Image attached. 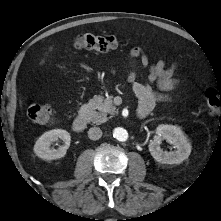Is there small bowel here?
<instances>
[{"instance_id":"1","label":"small bowel","mask_w":221,"mask_h":221,"mask_svg":"<svg viewBox=\"0 0 221 221\" xmlns=\"http://www.w3.org/2000/svg\"><path fill=\"white\" fill-rule=\"evenodd\" d=\"M129 56L133 67L137 60L140 61L143 67L148 65V58L139 47L132 48L129 52ZM177 67V64L166 67L165 62L162 60L151 65L149 80L157 86L158 91L153 90L149 84L138 82L137 74L134 69L129 71L127 81L132 85V89L139 99V113L147 115L152 111L156 102L168 100L166 93L179 85V81L175 77Z\"/></svg>"}]
</instances>
